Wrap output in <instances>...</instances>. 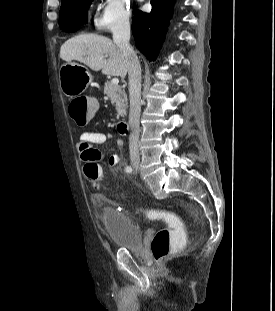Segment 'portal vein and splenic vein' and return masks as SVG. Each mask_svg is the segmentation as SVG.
I'll return each mask as SVG.
<instances>
[{"mask_svg":"<svg viewBox=\"0 0 275 311\" xmlns=\"http://www.w3.org/2000/svg\"><path fill=\"white\" fill-rule=\"evenodd\" d=\"M111 82H112V84L118 85L119 79L118 78H113Z\"/></svg>","mask_w":275,"mask_h":311,"instance_id":"1","label":"portal vein and splenic vein"}]
</instances>
